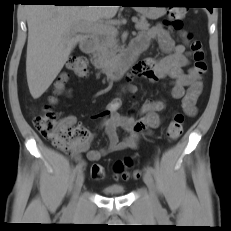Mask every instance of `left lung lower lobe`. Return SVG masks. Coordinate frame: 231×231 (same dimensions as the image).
Instances as JSON below:
<instances>
[{
	"mask_svg": "<svg viewBox=\"0 0 231 231\" xmlns=\"http://www.w3.org/2000/svg\"><path fill=\"white\" fill-rule=\"evenodd\" d=\"M207 9L212 13V8L211 7H207Z\"/></svg>",
	"mask_w": 231,
	"mask_h": 231,
	"instance_id": "left-lung-lower-lobe-1",
	"label": "left lung lower lobe"
}]
</instances>
